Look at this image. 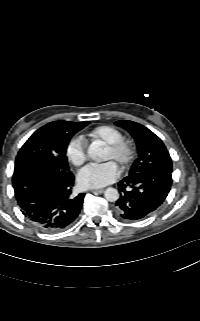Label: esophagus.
<instances>
[{"label":"esophagus","instance_id":"1","mask_svg":"<svg viewBox=\"0 0 200 321\" xmlns=\"http://www.w3.org/2000/svg\"><path fill=\"white\" fill-rule=\"evenodd\" d=\"M92 192L93 193H102V192H104V189H93Z\"/></svg>","mask_w":200,"mask_h":321}]
</instances>
